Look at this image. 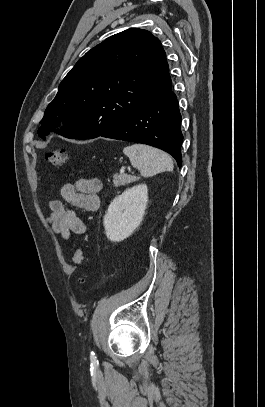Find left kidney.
<instances>
[{"label":"left kidney","mask_w":265,"mask_h":407,"mask_svg":"<svg viewBox=\"0 0 265 407\" xmlns=\"http://www.w3.org/2000/svg\"><path fill=\"white\" fill-rule=\"evenodd\" d=\"M148 202V188L139 184L117 196L104 217L107 238L120 242L128 238L140 225Z\"/></svg>","instance_id":"obj_1"}]
</instances>
